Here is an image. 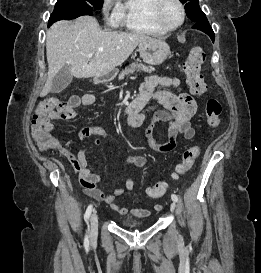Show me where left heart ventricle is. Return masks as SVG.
<instances>
[{"mask_svg": "<svg viewBox=\"0 0 261 273\" xmlns=\"http://www.w3.org/2000/svg\"><path fill=\"white\" fill-rule=\"evenodd\" d=\"M180 18L178 6L172 1L166 2L161 10L162 21L168 26H174L180 21Z\"/></svg>", "mask_w": 261, "mask_h": 273, "instance_id": "1", "label": "left heart ventricle"}]
</instances>
